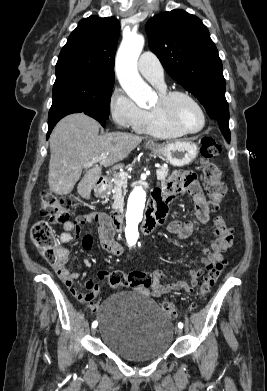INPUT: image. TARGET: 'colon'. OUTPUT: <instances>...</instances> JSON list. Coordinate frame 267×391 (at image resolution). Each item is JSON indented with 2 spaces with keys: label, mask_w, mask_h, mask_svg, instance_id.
<instances>
[{
  "label": "colon",
  "mask_w": 267,
  "mask_h": 391,
  "mask_svg": "<svg viewBox=\"0 0 267 391\" xmlns=\"http://www.w3.org/2000/svg\"><path fill=\"white\" fill-rule=\"evenodd\" d=\"M202 156V177L209 196V208L213 211L219 209L222 200L225 197L227 188L223 182V172L221 168L212 161L220 153V146L215 139L206 137L201 142L200 148ZM72 202L55 196L53 193L46 191L42 194L40 203V212L44 217L57 223L68 221L71 213ZM31 239L34 245L42 252L44 259L51 265L57 261V248L55 233L47 221L36 222L31 229ZM226 264L224 259L215 263L205 276L201 287L200 297L203 298L219 279L223 268ZM112 288L122 286H131L139 292L145 293L150 289L151 275L144 271H133L128 274L115 272L108 279ZM197 303L190 305L195 309ZM163 312L170 318L177 316V309L171 302L162 304Z\"/></svg>",
  "instance_id": "1"
}]
</instances>
